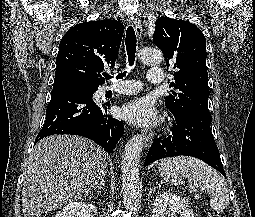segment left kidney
Instances as JSON below:
<instances>
[{"mask_svg":"<svg viewBox=\"0 0 255 217\" xmlns=\"http://www.w3.org/2000/svg\"><path fill=\"white\" fill-rule=\"evenodd\" d=\"M152 213V217H178V214L181 217H194L188 201L171 192H161L156 197Z\"/></svg>","mask_w":255,"mask_h":217,"instance_id":"obj_1","label":"left kidney"}]
</instances>
